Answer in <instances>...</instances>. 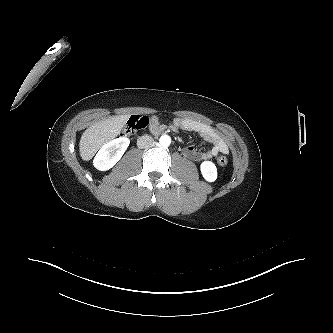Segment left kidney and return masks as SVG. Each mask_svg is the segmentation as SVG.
I'll return each mask as SVG.
<instances>
[{
	"label": "left kidney",
	"instance_id": "obj_1",
	"mask_svg": "<svg viewBox=\"0 0 333 333\" xmlns=\"http://www.w3.org/2000/svg\"><path fill=\"white\" fill-rule=\"evenodd\" d=\"M201 173L204 179L208 182H214L217 179V168L211 161L201 163Z\"/></svg>",
	"mask_w": 333,
	"mask_h": 333
}]
</instances>
